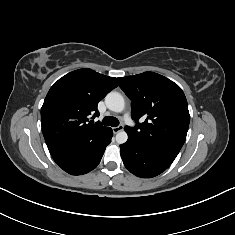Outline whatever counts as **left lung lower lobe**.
<instances>
[{
  "instance_id": "obj_1",
  "label": "left lung lower lobe",
  "mask_w": 235,
  "mask_h": 235,
  "mask_svg": "<svg viewBox=\"0 0 235 235\" xmlns=\"http://www.w3.org/2000/svg\"><path fill=\"white\" fill-rule=\"evenodd\" d=\"M120 151L125 167L134 175L142 178L159 175L176 158V156L144 145L129 136L127 142L120 146Z\"/></svg>"
}]
</instances>
